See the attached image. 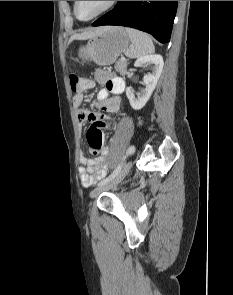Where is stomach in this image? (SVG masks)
<instances>
[{"instance_id":"0dacf381","label":"stomach","mask_w":233,"mask_h":295,"mask_svg":"<svg viewBox=\"0 0 233 295\" xmlns=\"http://www.w3.org/2000/svg\"><path fill=\"white\" fill-rule=\"evenodd\" d=\"M130 37L123 27L109 26L78 48V58L92 60L97 65L113 64L128 49Z\"/></svg>"}]
</instances>
